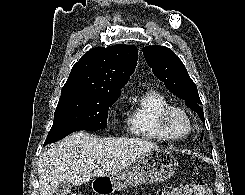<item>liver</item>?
I'll return each mask as SVG.
<instances>
[{"label":"liver","mask_w":245,"mask_h":195,"mask_svg":"<svg viewBox=\"0 0 245 195\" xmlns=\"http://www.w3.org/2000/svg\"><path fill=\"white\" fill-rule=\"evenodd\" d=\"M158 149L157 144L136 138H96L82 131L73 133L41 155L40 195H53L61 183L80 186L93 177H111L144 153ZM92 165H97L93 173Z\"/></svg>","instance_id":"liver-1"}]
</instances>
